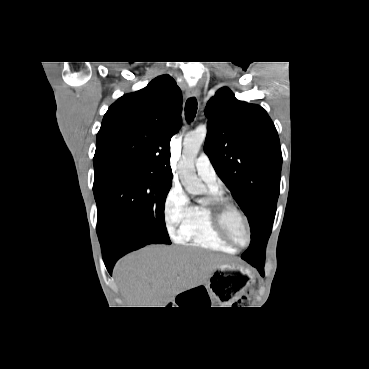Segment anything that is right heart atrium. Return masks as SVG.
Here are the masks:
<instances>
[{
  "mask_svg": "<svg viewBox=\"0 0 369 369\" xmlns=\"http://www.w3.org/2000/svg\"><path fill=\"white\" fill-rule=\"evenodd\" d=\"M190 206L188 196L182 186L174 183L164 201V220L171 235L178 236L180 227L189 214Z\"/></svg>",
  "mask_w": 369,
  "mask_h": 369,
  "instance_id": "d8ad5b80",
  "label": "right heart atrium"
}]
</instances>
